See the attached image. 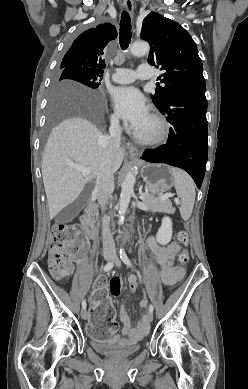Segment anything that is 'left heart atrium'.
Segmentation results:
<instances>
[{
    "label": "left heart atrium",
    "instance_id": "left-heart-atrium-1",
    "mask_svg": "<svg viewBox=\"0 0 248 389\" xmlns=\"http://www.w3.org/2000/svg\"><path fill=\"white\" fill-rule=\"evenodd\" d=\"M112 102L120 117L134 129H139L148 118L144 96L135 87H117L111 93Z\"/></svg>",
    "mask_w": 248,
    "mask_h": 389
}]
</instances>
